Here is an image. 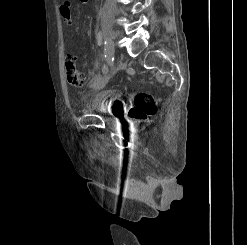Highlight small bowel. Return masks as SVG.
I'll return each mask as SVG.
<instances>
[{
  "instance_id": "c3829d8e",
  "label": "small bowel",
  "mask_w": 247,
  "mask_h": 245,
  "mask_svg": "<svg viewBox=\"0 0 247 245\" xmlns=\"http://www.w3.org/2000/svg\"><path fill=\"white\" fill-rule=\"evenodd\" d=\"M81 2H86L87 0H80ZM60 12L65 20L70 21L71 19V10H70V4L68 2L63 3L60 6Z\"/></svg>"
}]
</instances>
